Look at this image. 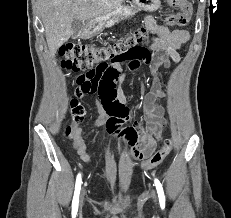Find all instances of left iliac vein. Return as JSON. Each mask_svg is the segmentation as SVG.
<instances>
[{
  "instance_id": "left-iliac-vein-1",
  "label": "left iliac vein",
  "mask_w": 231,
  "mask_h": 218,
  "mask_svg": "<svg viewBox=\"0 0 231 218\" xmlns=\"http://www.w3.org/2000/svg\"><path fill=\"white\" fill-rule=\"evenodd\" d=\"M151 195H152L153 200H154L155 202H157L156 193H155L154 191H152Z\"/></svg>"
}]
</instances>
